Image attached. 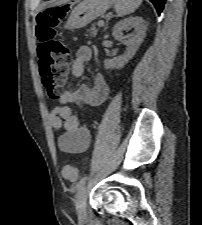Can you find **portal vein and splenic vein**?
Returning a JSON list of instances; mask_svg holds the SVG:
<instances>
[{"label":"portal vein and splenic vein","mask_w":202,"mask_h":225,"mask_svg":"<svg viewBox=\"0 0 202 225\" xmlns=\"http://www.w3.org/2000/svg\"><path fill=\"white\" fill-rule=\"evenodd\" d=\"M104 24H105V23H104V21H103V20H100V21L98 22V26H99V27H103V26H104Z\"/></svg>","instance_id":"portal-vein-and-splenic-vein-1"}]
</instances>
